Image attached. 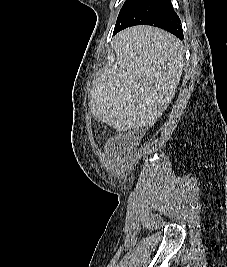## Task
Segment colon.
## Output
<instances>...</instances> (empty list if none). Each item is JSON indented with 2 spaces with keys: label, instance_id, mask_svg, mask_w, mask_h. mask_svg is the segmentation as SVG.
I'll return each mask as SVG.
<instances>
[{
  "label": "colon",
  "instance_id": "colon-1",
  "mask_svg": "<svg viewBox=\"0 0 227 267\" xmlns=\"http://www.w3.org/2000/svg\"><path fill=\"white\" fill-rule=\"evenodd\" d=\"M97 130V128H96ZM143 138V132L142 131H134L130 135H127L123 137V141L128 145L132 146L136 142L140 141Z\"/></svg>",
  "mask_w": 227,
  "mask_h": 267
}]
</instances>
